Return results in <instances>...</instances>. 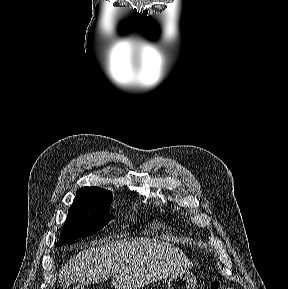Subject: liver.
I'll return each mask as SVG.
<instances>
[{"label":"liver","instance_id":"liver-1","mask_svg":"<svg viewBox=\"0 0 288 289\" xmlns=\"http://www.w3.org/2000/svg\"><path fill=\"white\" fill-rule=\"evenodd\" d=\"M192 266L179 248L162 240L139 237L96 241L64 265L59 281L90 285L106 282L114 274L115 288L140 289Z\"/></svg>","mask_w":288,"mask_h":289}]
</instances>
